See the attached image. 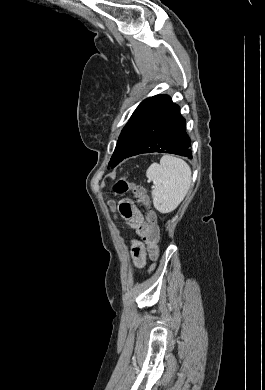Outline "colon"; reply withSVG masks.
Listing matches in <instances>:
<instances>
[{
  "label": "colon",
  "instance_id": "obj_1",
  "mask_svg": "<svg viewBox=\"0 0 265 390\" xmlns=\"http://www.w3.org/2000/svg\"><path fill=\"white\" fill-rule=\"evenodd\" d=\"M113 191L117 194H125L131 192L136 198L137 202L147 205L148 198L143 186L130 183L125 178L120 179L113 186ZM147 222L151 226V234L147 240V250L150 258L156 261L159 256L158 243L160 239L159 229L156 224V216L153 212L147 213Z\"/></svg>",
  "mask_w": 265,
  "mask_h": 390
}]
</instances>
